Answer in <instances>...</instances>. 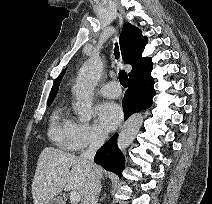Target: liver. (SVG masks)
Returning a JSON list of instances; mask_svg holds the SVG:
<instances>
[{
	"mask_svg": "<svg viewBox=\"0 0 212 204\" xmlns=\"http://www.w3.org/2000/svg\"><path fill=\"white\" fill-rule=\"evenodd\" d=\"M96 168L98 176L102 177L103 169ZM87 174V166L80 157L54 147H45L32 181L34 204H47L64 188L77 191L84 198Z\"/></svg>",
	"mask_w": 212,
	"mask_h": 204,
	"instance_id": "1",
	"label": "liver"
}]
</instances>
